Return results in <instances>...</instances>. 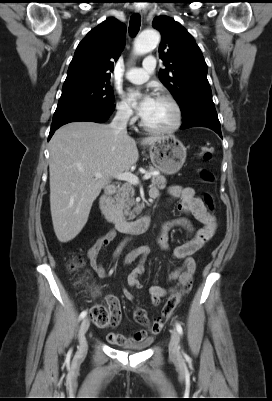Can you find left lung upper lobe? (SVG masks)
<instances>
[{
    "label": "left lung upper lobe",
    "mask_w": 272,
    "mask_h": 401,
    "mask_svg": "<svg viewBox=\"0 0 272 401\" xmlns=\"http://www.w3.org/2000/svg\"><path fill=\"white\" fill-rule=\"evenodd\" d=\"M152 25L162 35L159 57L166 69L159 71V79L178 102L182 115L197 108L215 107L207 64L193 37L168 16L155 17Z\"/></svg>",
    "instance_id": "1"
}]
</instances>
